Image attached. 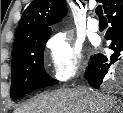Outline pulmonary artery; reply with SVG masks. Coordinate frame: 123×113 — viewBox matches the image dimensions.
<instances>
[{
	"mask_svg": "<svg viewBox=\"0 0 123 113\" xmlns=\"http://www.w3.org/2000/svg\"><path fill=\"white\" fill-rule=\"evenodd\" d=\"M88 28H89V30H91L93 32L98 31L100 28L98 20L94 17L90 18L88 21Z\"/></svg>",
	"mask_w": 123,
	"mask_h": 113,
	"instance_id": "e3ab8cb5",
	"label": "pulmonary artery"
}]
</instances>
